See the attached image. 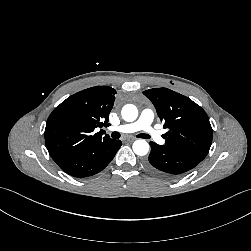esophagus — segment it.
Listing matches in <instances>:
<instances>
[{"label":"esophagus","instance_id":"esophagus-1","mask_svg":"<svg viewBox=\"0 0 251 251\" xmlns=\"http://www.w3.org/2000/svg\"><path fill=\"white\" fill-rule=\"evenodd\" d=\"M135 140V138H133V137H129L128 139H127V141H130V142H132V141H134Z\"/></svg>","mask_w":251,"mask_h":251}]
</instances>
